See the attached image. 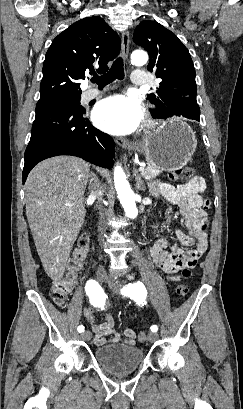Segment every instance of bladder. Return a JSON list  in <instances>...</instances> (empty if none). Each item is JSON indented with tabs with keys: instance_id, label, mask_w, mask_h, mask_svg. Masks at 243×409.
Returning a JSON list of instances; mask_svg holds the SVG:
<instances>
[{
	"instance_id": "31cf9c89",
	"label": "bladder",
	"mask_w": 243,
	"mask_h": 409,
	"mask_svg": "<svg viewBox=\"0 0 243 409\" xmlns=\"http://www.w3.org/2000/svg\"><path fill=\"white\" fill-rule=\"evenodd\" d=\"M96 362L111 373H125L137 369L143 359V350L136 346L112 343L94 350Z\"/></svg>"
}]
</instances>
